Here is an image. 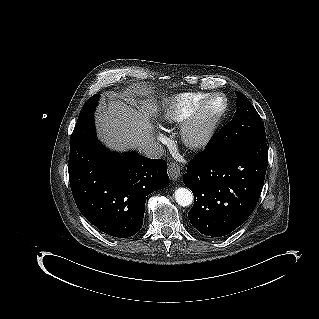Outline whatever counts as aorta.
Returning a JSON list of instances; mask_svg holds the SVG:
<instances>
[{
	"mask_svg": "<svg viewBox=\"0 0 319 319\" xmlns=\"http://www.w3.org/2000/svg\"><path fill=\"white\" fill-rule=\"evenodd\" d=\"M175 200L180 206L186 207L192 204L193 194L189 189L181 187L175 190Z\"/></svg>",
	"mask_w": 319,
	"mask_h": 319,
	"instance_id": "obj_1",
	"label": "aorta"
}]
</instances>
